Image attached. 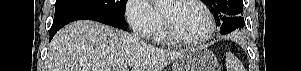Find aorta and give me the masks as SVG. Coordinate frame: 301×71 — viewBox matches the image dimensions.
I'll return each instance as SVG.
<instances>
[{
  "label": "aorta",
  "instance_id": "obj_1",
  "mask_svg": "<svg viewBox=\"0 0 301 71\" xmlns=\"http://www.w3.org/2000/svg\"><path fill=\"white\" fill-rule=\"evenodd\" d=\"M156 6H162L167 4L168 0H151Z\"/></svg>",
  "mask_w": 301,
  "mask_h": 71
}]
</instances>
